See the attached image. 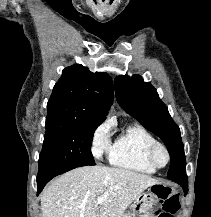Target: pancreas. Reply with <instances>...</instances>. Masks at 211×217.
I'll list each match as a JSON object with an SVG mask.
<instances>
[{"label":"pancreas","mask_w":211,"mask_h":217,"mask_svg":"<svg viewBox=\"0 0 211 217\" xmlns=\"http://www.w3.org/2000/svg\"><path fill=\"white\" fill-rule=\"evenodd\" d=\"M121 217H131V216H130V213H127V214H124V215L121 216Z\"/></svg>","instance_id":"cf45deb5"}]
</instances>
